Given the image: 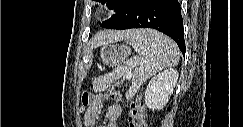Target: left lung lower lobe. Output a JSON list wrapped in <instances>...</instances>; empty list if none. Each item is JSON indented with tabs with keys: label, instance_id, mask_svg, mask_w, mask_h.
<instances>
[{
	"label": "left lung lower lobe",
	"instance_id": "0a47b994",
	"mask_svg": "<svg viewBox=\"0 0 243 127\" xmlns=\"http://www.w3.org/2000/svg\"><path fill=\"white\" fill-rule=\"evenodd\" d=\"M103 26L110 29L154 28L171 37L185 54L178 0H125Z\"/></svg>",
	"mask_w": 243,
	"mask_h": 127
}]
</instances>
